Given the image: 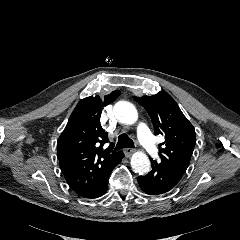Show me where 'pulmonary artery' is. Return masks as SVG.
<instances>
[{
  "instance_id": "1",
  "label": "pulmonary artery",
  "mask_w": 240,
  "mask_h": 240,
  "mask_svg": "<svg viewBox=\"0 0 240 240\" xmlns=\"http://www.w3.org/2000/svg\"><path fill=\"white\" fill-rule=\"evenodd\" d=\"M137 135L140 143L143 145L146 151L150 155L155 156L158 150L155 146L150 130L148 129L147 125L144 122L138 123Z\"/></svg>"
}]
</instances>
